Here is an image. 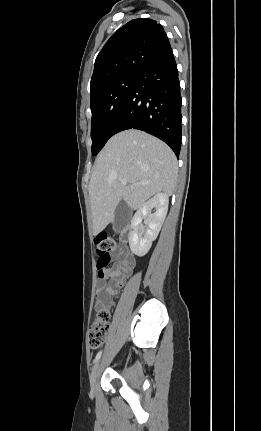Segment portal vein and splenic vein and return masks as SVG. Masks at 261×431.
Wrapping results in <instances>:
<instances>
[{
  "mask_svg": "<svg viewBox=\"0 0 261 431\" xmlns=\"http://www.w3.org/2000/svg\"><path fill=\"white\" fill-rule=\"evenodd\" d=\"M121 183H122L123 185H126V184H127V180L122 179V180H121ZM135 185H138V183L132 184V186H135Z\"/></svg>",
  "mask_w": 261,
  "mask_h": 431,
  "instance_id": "obj_1",
  "label": "portal vein and splenic vein"
}]
</instances>
